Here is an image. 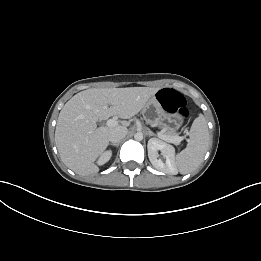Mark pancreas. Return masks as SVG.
Wrapping results in <instances>:
<instances>
[{
  "label": "pancreas",
  "instance_id": "pancreas-1",
  "mask_svg": "<svg viewBox=\"0 0 261 261\" xmlns=\"http://www.w3.org/2000/svg\"><path fill=\"white\" fill-rule=\"evenodd\" d=\"M165 135L169 136V137H179L178 134L175 132V130H167ZM176 144H178V143H176Z\"/></svg>",
  "mask_w": 261,
  "mask_h": 261
}]
</instances>
